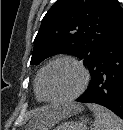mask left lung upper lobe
<instances>
[{
	"instance_id": "1",
	"label": "left lung upper lobe",
	"mask_w": 123,
	"mask_h": 130,
	"mask_svg": "<svg viewBox=\"0 0 123 130\" xmlns=\"http://www.w3.org/2000/svg\"><path fill=\"white\" fill-rule=\"evenodd\" d=\"M123 24L118 0H57L44 16L34 40L31 64L66 53L90 68Z\"/></svg>"
}]
</instances>
